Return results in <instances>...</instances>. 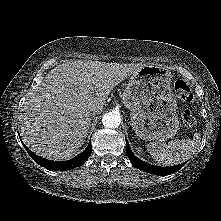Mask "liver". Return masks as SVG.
<instances>
[{
    "label": "liver",
    "mask_w": 221,
    "mask_h": 221,
    "mask_svg": "<svg viewBox=\"0 0 221 221\" xmlns=\"http://www.w3.org/2000/svg\"><path fill=\"white\" fill-rule=\"evenodd\" d=\"M143 66L91 60L57 65L24 103L19 116L23 142L41 157L70 159L87 137L90 110L102 111L113 88Z\"/></svg>",
    "instance_id": "1"
}]
</instances>
